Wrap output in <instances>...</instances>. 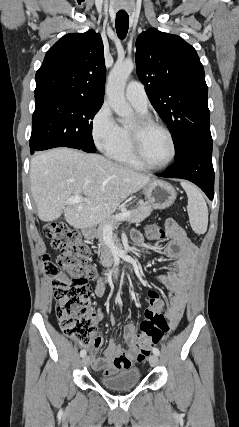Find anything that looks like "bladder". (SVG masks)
I'll list each match as a JSON object with an SVG mask.
<instances>
[{
  "instance_id": "bladder-1",
  "label": "bladder",
  "mask_w": 239,
  "mask_h": 427,
  "mask_svg": "<svg viewBox=\"0 0 239 427\" xmlns=\"http://www.w3.org/2000/svg\"><path fill=\"white\" fill-rule=\"evenodd\" d=\"M140 381V371L137 368H128L112 375L100 378L101 384L111 390H126L135 387Z\"/></svg>"
}]
</instances>
